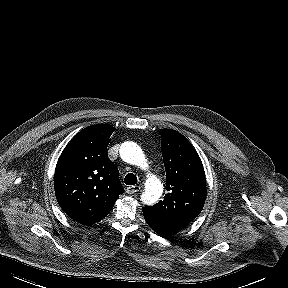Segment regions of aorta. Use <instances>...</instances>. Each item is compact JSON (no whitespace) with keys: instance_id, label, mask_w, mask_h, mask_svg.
Here are the masks:
<instances>
[{"instance_id":"1","label":"aorta","mask_w":288,"mask_h":288,"mask_svg":"<svg viewBox=\"0 0 288 288\" xmlns=\"http://www.w3.org/2000/svg\"><path fill=\"white\" fill-rule=\"evenodd\" d=\"M120 156L123 161L141 166L145 163V156L142 149L134 142H124L120 147ZM163 193V184L155 176H150L145 184V192L141 195V200L145 204H154Z\"/></svg>"}]
</instances>
